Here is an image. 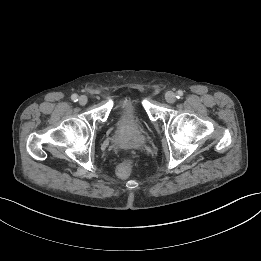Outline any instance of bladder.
<instances>
[{"instance_id":"31cf9c89","label":"bladder","mask_w":261,"mask_h":261,"mask_svg":"<svg viewBox=\"0 0 261 261\" xmlns=\"http://www.w3.org/2000/svg\"><path fill=\"white\" fill-rule=\"evenodd\" d=\"M138 109V103L133 98L120 99L116 103L115 125L117 129L127 134L138 132L143 126Z\"/></svg>"}]
</instances>
